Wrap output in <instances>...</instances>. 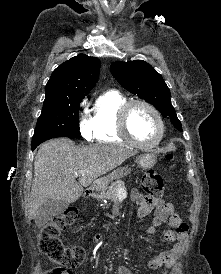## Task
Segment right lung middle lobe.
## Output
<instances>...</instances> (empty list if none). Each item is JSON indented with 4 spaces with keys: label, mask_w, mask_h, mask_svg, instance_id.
<instances>
[{
    "label": "right lung middle lobe",
    "mask_w": 221,
    "mask_h": 274,
    "mask_svg": "<svg viewBox=\"0 0 221 274\" xmlns=\"http://www.w3.org/2000/svg\"><path fill=\"white\" fill-rule=\"evenodd\" d=\"M84 97L44 101L38 118L32 146L56 137H79V110Z\"/></svg>",
    "instance_id": "obj_1"
}]
</instances>
